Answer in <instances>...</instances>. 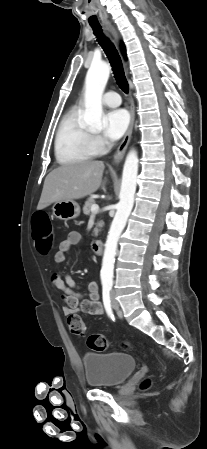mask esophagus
I'll use <instances>...</instances> for the list:
<instances>
[{"mask_svg": "<svg viewBox=\"0 0 207 449\" xmlns=\"http://www.w3.org/2000/svg\"><path fill=\"white\" fill-rule=\"evenodd\" d=\"M109 31L112 33V35L117 38V33L115 31V29L112 26H108ZM134 120H135V109H134V104L131 102V106H130V124L129 127L127 129V132L123 138V140L121 141L120 145L118 146L114 157H113V163L114 164H118L124 157L125 152L127 150V147L130 143V139H131V135H132V131H133V126H134Z\"/></svg>", "mask_w": 207, "mask_h": 449, "instance_id": "1", "label": "esophagus"}]
</instances>
